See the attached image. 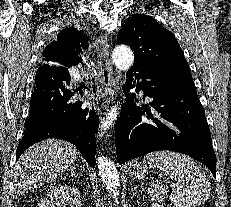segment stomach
I'll return each mask as SVG.
<instances>
[{
    "instance_id": "0dacf381",
    "label": "stomach",
    "mask_w": 231,
    "mask_h": 207,
    "mask_svg": "<svg viewBox=\"0 0 231 207\" xmlns=\"http://www.w3.org/2000/svg\"><path fill=\"white\" fill-rule=\"evenodd\" d=\"M129 173L136 178H143L148 174V167L145 163L133 162L129 167Z\"/></svg>"
}]
</instances>
